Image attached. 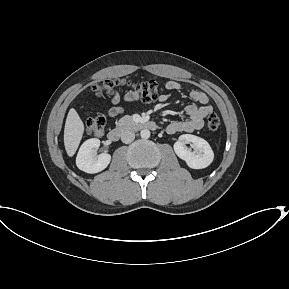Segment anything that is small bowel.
<instances>
[{"label": "small bowel", "instance_id": "c3829d8e", "mask_svg": "<svg viewBox=\"0 0 289 289\" xmlns=\"http://www.w3.org/2000/svg\"><path fill=\"white\" fill-rule=\"evenodd\" d=\"M165 88L170 91H179L184 89L181 83L169 80L165 83ZM190 98L197 103L190 104L185 108L187 119L171 122L167 126V131L171 134L179 132H193L202 128L204 118L213 111V107L209 104V98L207 94L201 90H191L189 92ZM126 102H133L137 100V97L133 93H126L123 97ZM168 96L162 94L159 97L160 102H166ZM121 97L118 93H115L111 99V104L108 109V115L115 117L123 112V108L119 105Z\"/></svg>", "mask_w": 289, "mask_h": 289}]
</instances>
